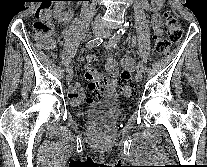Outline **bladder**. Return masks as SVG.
<instances>
[{
	"label": "bladder",
	"mask_w": 207,
	"mask_h": 167,
	"mask_svg": "<svg viewBox=\"0 0 207 167\" xmlns=\"http://www.w3.org/2000/svg\"><path fill=\"white\" fill-rule=\"evenodd\" d=\"M114 107H117V102L112 99V98H109L101 103H92V104H87L84 106V109H87V108H102V109H109V108H114ZM81 116L84 115V112L82 111L80 113Z\"/></svg>",
	"instance_id": "31cf9c89"
}]
</instances>
